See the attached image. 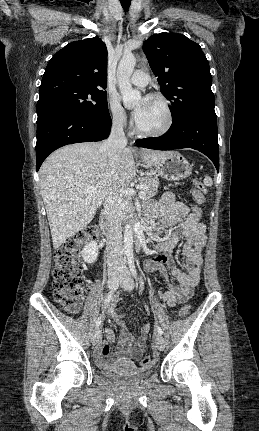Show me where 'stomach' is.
I'll list each match as a JSON object with an SVG mask.
<instances>
[{
  "label": "stomach",
  "mask_w": 259,
  "mask_h": 431,
  "mask_svg": "<svg viewBox=\"0 0 259 431\" xmlns=\"http://www.w3.org/2000/svg\"><path fill=\"white\" fill-rule=\"evenodd\" d=\"M151 169L166 180L177 181L189 177L192 165L179 152L171 151Z\"/></svg>",
  "instance_id": "stomach-1"
}]
</instances>
